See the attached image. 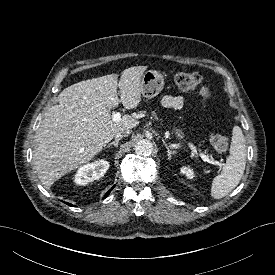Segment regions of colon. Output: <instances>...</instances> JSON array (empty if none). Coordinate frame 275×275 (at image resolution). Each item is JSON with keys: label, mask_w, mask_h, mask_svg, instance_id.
Segmentation results:
<instances>
[{"label": "colon", "mask_w": 275, "mask_h": 275, "mask_svg": "<svg viewBox=\"0 0 275 275\" xmlns=\"http://www.w3.org/2000/svg\"><path fill=\"white\" fill-rule=\"evenodd\" d=\"M174 81L181 91H197L202 100H208L211 96L209 87L204 84L202 76L197 72H179L175 75ZM210 144L218 153L225 152L228 147L227 138L219 133L211 135Z\"/></svg>", "instance_id": "colon-1"}]
</instances>
